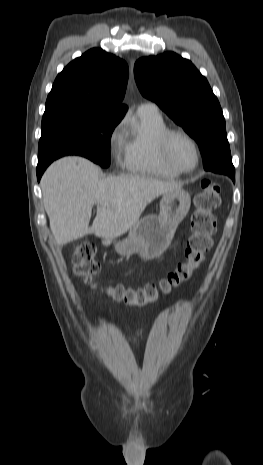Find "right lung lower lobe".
<instances>
[{"label":"right lung lower lobe","instance_id":"right-lung-lower-lobe-1","mask_svg":"<svg viewBox=\"0 0 263 465\" xmlns=\"http://www.w3.org/2000/svg\"><path fill=\"white\" fill-rule=\"evenodd\" d=\"M46 169L45 166H37V178H38V181L40 180L41 178V175L43 174L44 170Z\"/></svg>","mask_w":263,"mask_h":465}]
</instances>
